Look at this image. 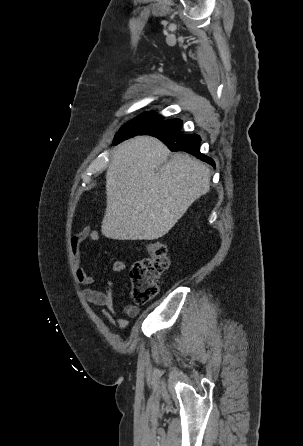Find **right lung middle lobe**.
I'll list each match as a JSON object with an SVG mask.
<instances>
[{
	"instance_id": "dd1d6c3e",
	"label": "right lung middle lobe",
	"mask_w": 303,
	"mask_h": 446,
	"mask_svg": "<svg viewBox=\"0 0 303 446\" xmlns=\"http://www.w3.org/2000/svg\"><path fill=\"white\" fill-rule=\"evenodd\" d=\"M162 119V116L157 115L153 111L142 113L141 115L126 123L119 130V132L115 135L113 144H118L126 139L139 135Z\"/></svg>"
}]
</instances>
